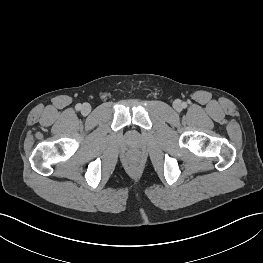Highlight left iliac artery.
Instances as JSON below:
<instances>
[{
    "label": "left iliac artery",
    "instance_id": "44dca946",
    "mask_svg": "<svg viewBox=\"0 0 263 263\" xmlns=\"http://www.w3.org/2000/svg\"><path fill=\"white\" fill-rule=\"evenodd\" d=\"M182 107H183V108H186V107H187V104H186V103H183V104H182Z\"/></svg>",
    "mask_w": 263,
    "mask_h": 263
}]
</instances>
